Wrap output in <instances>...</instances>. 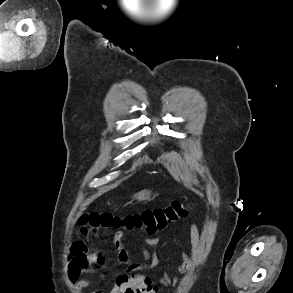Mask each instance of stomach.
<instances>
[{"instance_id":"0dacf381","label":"stomach","mask_w":293,"mask_h":293,"mask_svg":"<svg viewBox=\"0 0 293 293\" xmlns=\"http://www.w3.org/2000/svg\"><path fill=\"white\" fill-rule=\"evenodd\" d=\"M151 196H152L151 191L144 190V191L137 193L134 196V198H135V200H138V201H146V200H149L151 198Z\"/></svg>"}]
</instances>
